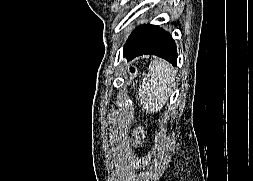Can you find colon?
<instances>
[{"label": "colon", "mask_w": 253, "mask_h": 181, "mask_svg": "<svg viewBox=\"0 0 253 181\" xmlns=\"http://www.w3.org/2000/svg\"><path fill=\"white\" fill-rule=\"evenodd\" d=\"M131 72L134 73V68H131Z\"/></svg>", "instance_id": "obj_1"}]
</instances>
